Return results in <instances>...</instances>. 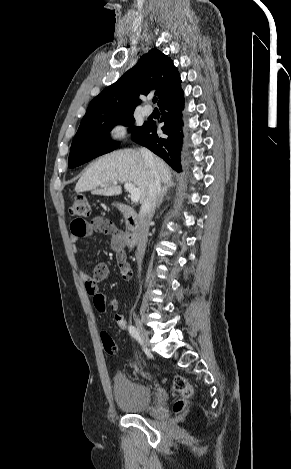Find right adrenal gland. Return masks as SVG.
<instances>
[{
    "label": "right adrenal gland",
    "mask_w": 291,
    "mask_h": 469,
    "mask_svg": "<svg viewBox=\"0 0 291 469\" xmlns=\"http://www.w3.org/2000/svg\"><path fill=\"white\" fill-rule=\"evenodd\" d=\"M172 187H173V184H166V185L163 186L160 197H159L158 202H157V208L160 207V205L163 202L164 197L166 196L168 190ZM166 198L169 199L170 197H166Z\"/></svg>",
    "instance_id": "right-adrenal-gland-1"
}]
</instances>
